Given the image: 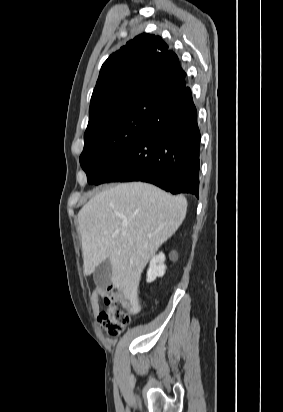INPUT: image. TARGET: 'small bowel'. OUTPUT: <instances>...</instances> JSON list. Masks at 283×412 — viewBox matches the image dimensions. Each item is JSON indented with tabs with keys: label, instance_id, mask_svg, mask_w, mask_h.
<instances>
[{
	"label": "small bowel",
	"instance_id": "obj_1",
	"mask_svg": "<svg viewBox=\"0 0 283 412\" xmlns=\"http://www.w3.org/2000/svg\"><path fill=\"white\" fill-rule=\"evenodd\" d=\"M104 295H105V291L102 288L95 289L93 304L96 308L99 307V298L103 297Z\"/></svg>",
	"mask_w": 283,
	"mask_h": 412
}]
</instances>
